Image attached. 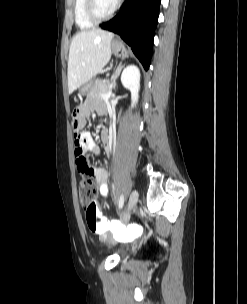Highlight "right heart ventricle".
I'll return each instance as SVG.
<instances>
[{"label":"right heart ventricle","instance_id":"obj_1","mask_svg":"<svg viewBox=\"0 0 247 304\" xmlns=\"http://www.w3.org/2000/svg\"><path fill=\"white\" fill-rule=\"evenodd\" d=\"M85 4L86 0H75L74 2L75 22L80 29H89L95 25V23L91 22L86 16Z\"/></svg>","mask_w":247,"mask_h":304}]
</instances>
